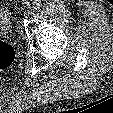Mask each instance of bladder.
<instances>
[{"label":"bladder","instance_id":"1","mask_svg":"<svg viewBox=\"0 0 113 113\" xmlns=\"http://www.w3.org/2000/svg\"><path fill=\"white\" fill-rule=\"evenodd\" d=\"M8 28V21L6 15L0 11V32Z\"/></svg>","mask_w":113,"mask_h":113}]
</instances>
